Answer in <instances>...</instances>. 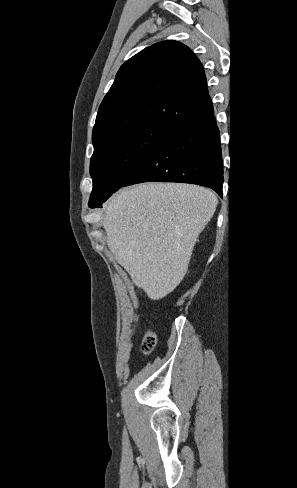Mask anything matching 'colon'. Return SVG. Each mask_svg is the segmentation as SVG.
I'll list each match as a JSON object with an SVG mask.
<instances>
[{
    "label": "colon",
    "instance_id": "5ec220e1",
    "mask_svg": "<svg viewBox=\"0 0 297 488\" xmlns=\"http://www.w3.org/2000/svg\"><path fill=\"white\" fill-rule=\"evenodd\" d=\"M156 341H157L156 335L151 331H147L141 343L142 352L146 355L150 354L155 348Z\"/></svg>",
    "mask_w": 297,
    "mask_h": 488
}]
</instances>
